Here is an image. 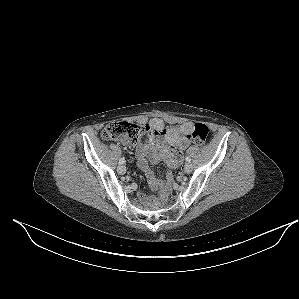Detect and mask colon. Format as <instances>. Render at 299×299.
<instances>
[{"label":"colon","instance_id":"1","mask_svg":"<svg viewBox=\"0 0 299 299\" xmlns=\"http://www.w3.org/2000/svg\"><path fill=\"white\" fill-rule=\"evenodd\" d=\"M148 131L146 126L141 124L115 121L108 124L102 131L101 136L104 140H126L134 143ZM209 133V128L203 123H196L193 130L188 134V139L196 145H202ZM167 196L166 187H162L159 199L163 200Z\"/></svg>","mask_w":299,"mask_h":299}]
</instances>
